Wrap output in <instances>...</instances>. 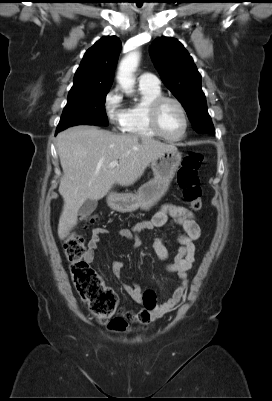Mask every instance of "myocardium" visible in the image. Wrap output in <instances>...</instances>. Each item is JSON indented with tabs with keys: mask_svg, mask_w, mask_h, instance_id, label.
Returning a JSON list of instances; mask_svg holds the SVG:
<instances>
[{
	"mask_svg": "<svg viewBox=\"0 0 272 401\" xmlns=\"http://www.w3.org/2000/svg\"><path fill=\"white\" fill-rule=\"evenodd\" d=\"M167 103H174L180 109L182 116H183L184 128H183L182 134L178 137H170V136L166 135L160 126V120H159L160 112H161L163 106ZM149 123H150L152 130L159 137H161L164 140L169 141V142H178V141L183 140L185 138V136L187 135L188 128H189V119H188L187 111H186L184 105L177 98L169 97V96H160L151 103V105L149 107Z\"/></svg>",
	"mask_w": 272,
	"mask_h": 401,
	"instance_id": "1",
	"label": "myocardium"
}]
</instances>
